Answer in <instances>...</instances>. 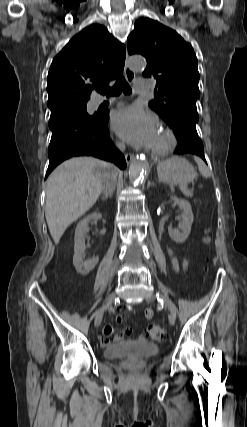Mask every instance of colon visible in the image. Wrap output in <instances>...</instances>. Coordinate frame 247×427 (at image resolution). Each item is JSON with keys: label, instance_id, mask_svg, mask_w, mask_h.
<instances>
[{"label": "colon", "instance_id": "obj_1", "mask_svg": "<svg viewBox=\"0 0 247 427\" xmlns=\"http://www.w3.org/2000/svg\"><path fill=\"white\" fill-rule=\"evenodd\" d=\"M207 240V238H206ZM147 335L153 339V340H161L164 335H165V330L163 327L156 325V324H152L150 326H148L147 328Z\"/></svg>", "mask_w": 247, "mask_h": 427}]
</instances>
